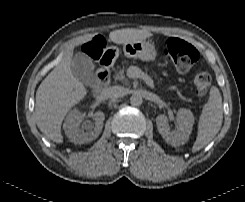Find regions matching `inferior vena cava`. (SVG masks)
Returning <instances> with one entry per match:
<instances>
[{"label": "inferior vena cava", "instance_id": "602c4592", "mask_svg": "<svg viewBox=\"0 0 245 202\" xmlns=\"http://www.w3.org/2000/svg\"><path fill=\"white\" fill-rule=\"evenodd\" d=\"M103 95L105 98H120L125 95V89L121 86H112L104 90Z\"/></svg>", "mask_w": 245, "mask_h": 202}]
</instances>
